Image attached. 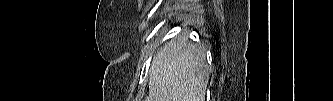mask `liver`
Instances as JSON below:
<instances>
[{
    "instance_id": "obj_1",
    "label": "liver",
    "mask_w": 333,
    "mask_h": 101,
    "mask_svg": "<svg viewBox=\"0 0 333 101\" xmlns=\"http://www.w3.org/2000/svg\"><path fill=\"white\" fill-rule=\"evenodd\" d=\"M208 81L205 49L176 38L153 61L146 101H205Z\"/></svg>"
}]
</instances>
